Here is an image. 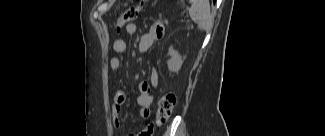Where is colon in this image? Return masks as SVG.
<instances>
[{"label": "colon", "mask_w": 325, "mask_h": 136, "mask_svg": "<svg viewBox=\"0 0 325 136\" xmlns=\"http://www.w3.org/2000/svg\"><path fill=\"white\" fill-rule=\"evenodd\" d=\"M143 2L138 5L127 8L117 20V30L132 23L139 15ZM175 96L172 93H166L161 96L157 104L156 123L161 125L167 122L172 116L175 106Z\"/></svg>", "instance_id": "5ec220e1"}]
</instances>
